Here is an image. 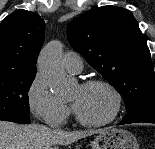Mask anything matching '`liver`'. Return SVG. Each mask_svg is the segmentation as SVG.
Instances as JSON below:
<instances>
[{
  "label": "liver",
  "instance_id": "6515ba94",
  "mask_svg": "<svg viewBox=\"0 0 155 149\" xmlns=\"http://www.w3.org/2000/svg\"><path fill=\"white\" fill-rule=\"evenodd\" d=\"M107 129L66 132L43 125H18L0 121V149H53L79 139L105 132Z\"/></svg>",
  "mask_w": 155,
  "mask_h": 149
}]
</instances>
